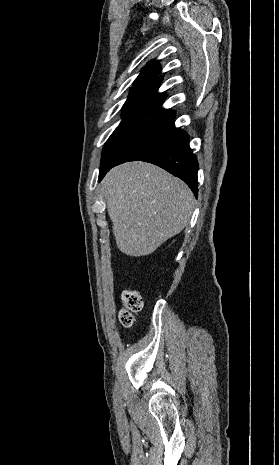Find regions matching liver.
Returning a JSON list of instances; mask_svg holds the SVG:
<instances>
[{"instance_id": "1", "label": "liver", "mask_w": 279, "mask_h": 465, "mask_svg": "<svg viewBox=\"0 0 279 465\" xmlns=\"http://www.w3.org/2000/svg\"><path fill=\"white\" fill-rule=\"evenodd\" d=\"M119 250L151 254L187 226L194 195L179 178L153 164L134 161L112 168L101 182Z\"/></svg>"}]
</instances>
